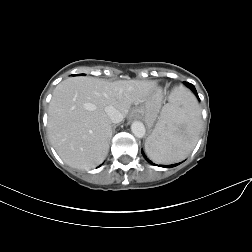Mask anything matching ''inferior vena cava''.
<instances>
[{"label":"inferior vena cava","mask_w":252,"mask_h":252,"mask_svg":"<svg viewBox=\"0 0 252 252\" xmlns=\"http://www.w3.org/2000/svg\"><path fill=\"white\" fill-rule=\"evenodd\" d=\"M105 112L113 123H119L123 120V115L113 106L105 107Z\"/></svg>","instance_id":"1"}]
</instances>
